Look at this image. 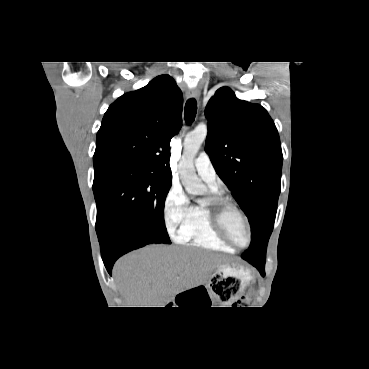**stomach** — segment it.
<instances>
[{"label":"stomach","mask_w":369,"mask_h":369,"mask_svg":"<svg viewBox=\"0 0 369 369\" xmlns=\"http://www.w3.org/2000/svg\"><path fill=\"white\" fill-rule=\"evenodd\" d=\"M251 280V273L241 265L223 263L216 268L205 287L212 297L229 303L246 289Z\"/></svg>","instance_id":"1"}]
</instances>
